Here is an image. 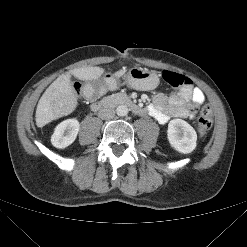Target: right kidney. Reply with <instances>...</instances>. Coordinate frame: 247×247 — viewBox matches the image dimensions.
Returning <instances> with one entry per match:
<instances>
[{
	"mask_svg": "<svg viewBox=\"0 0 247 247\" xmlns=\"http://www.w3.org/2000/svg\"><path fill=\"white\" fill-rule=\"evenodd\" d=\"M80 124L77 119H67L59 123L51 136V143L54 147L63 149L71 145L79 132Z\"/></svg>",
	"mask_w": 247,
	"mask_h": 247,
	"instance_id": "ca27d5eb",
	"label": "right kidney"
}]
</instances>
